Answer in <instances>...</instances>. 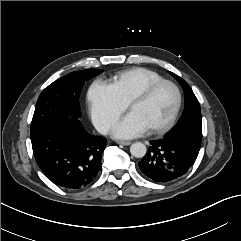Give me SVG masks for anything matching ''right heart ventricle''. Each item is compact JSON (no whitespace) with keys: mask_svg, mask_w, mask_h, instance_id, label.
Wrapping results in <instances>:
<instances>
[{"mask_svg":"<svg viewBox=\"0 0 241 241\" xmlns=\"http://www.w3.org/2000/svg\"><path fill=\"white\" fill-rule=\"evenodd\" d=\"M164 78L155 71L147 68L135 67L119 72L113 77L112 85L118 95L129 103L131 98L147 85L163 80Z\"/></svg>","mask_w":241,"mask_h":241,"instance_id":"right-heart-ventricle-1","label":"right heart ventricle"}]
</instances>
